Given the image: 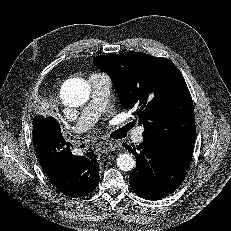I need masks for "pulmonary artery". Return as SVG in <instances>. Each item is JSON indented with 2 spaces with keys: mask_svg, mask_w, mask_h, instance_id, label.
Segmentation results:
<instances>
[{
  "mask_svg": "<svg viewBox=\"0 0 231 231\" xmlns=\"http://www.w3.org/2000/svg\"><path fill=\"white\" fill-rule=\"evenodd\" d=\"M89 83L92 90V100L75 124L74 130L76 132L85 131L95 123L99 114L105 109L111 91V80L108 76L93 74L89 77ZM132 139L136 143H142L144 140L143 128L133 130Z\"/></svg>",
  "mask_w": 231,
  "mask_h": 231,
  "instance_id": "1",
  "label": "pulmonary artery"
}]
</instances>
